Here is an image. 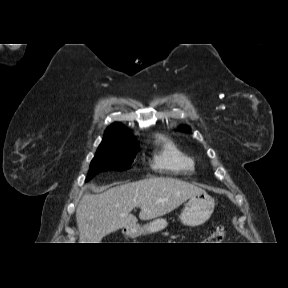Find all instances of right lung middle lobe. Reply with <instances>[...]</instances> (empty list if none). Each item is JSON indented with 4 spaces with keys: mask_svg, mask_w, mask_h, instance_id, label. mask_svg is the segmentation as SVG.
Masks as SVG:
<instances>
[{
    "mask_svg": "<svg viewBox=\"0 0 288 288\" xmlns=\"http://www.w3.org/2000/svg\"><path fill=\"white\" fill-rule=\"evenodd\" d=\"M137 151L135 141L121 138L102 141L91 161L86 181L102 171L129 169Z\"/></svg>",
    "mask_w": 288,
    "mask_h": 288,
    "instance_id": "1",
    "label": "right lung middle lobe"
}]
</instances>
